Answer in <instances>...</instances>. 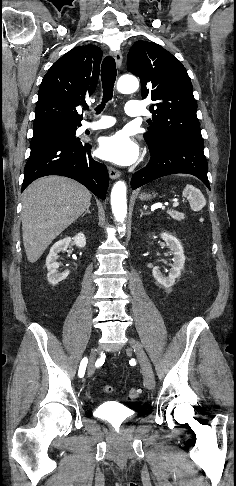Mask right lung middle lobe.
Wrapping results in <instances>:
<instances>
[{"label":"right lung middle lobe","mask_w":236,"mask_h":486,"mask_svg":"<svg viewBox=\"0 0 236 486\" xmlns=\"http://www.w3.org/2000/svg\"><path fill=\"white\" fill-rule=\"evenodd\" d=\"M77 124L75 123H48L33 126V137L41 135H60L65 138H75Z\"/></svg>","instance_id":"right-lung-middle-lobe-1"}]
</instances>
